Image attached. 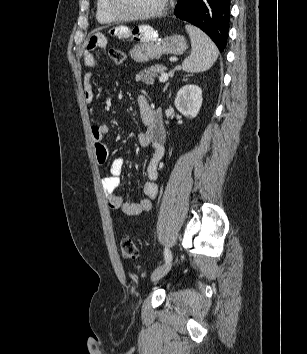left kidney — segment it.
<instances>
[{"instance_id":"obj_1","label":"left kidney","mask_w":307,"mask_h":354,"mask_svg":"<svg viewBox=\"0 0 307 354\" xmlns=\"http://www.w3.org/2000/svg\"><path fill=\"white\" fill-rule=\"evenodd\" d=\"M202 105V90L197 85H185L177 93L175 107L189 119L195 118Z\"/></svg>"}]
</instances>
